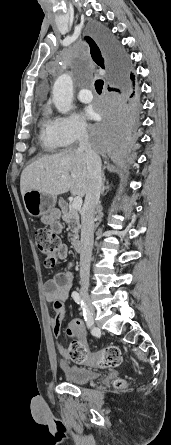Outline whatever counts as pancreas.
<instances>
[{"label": "pancreas", "instance_id": "cf45deb5", "mask_svg": "<svg viewBox=\"0 0 171 445\" xmlns=\"http://www.w3.org/2000/svg\"><path fill=\"white\" fill-rule=\"evenodd\" d=\"M62 219L66 222L70 229H72V234H69L72 243H75L79 238V229H80V220L79 214L77 210H74L72 207L64 206L62 208Z\"/></svg>", "mask_w": 171, "mask_h": 445}]
</instances>
